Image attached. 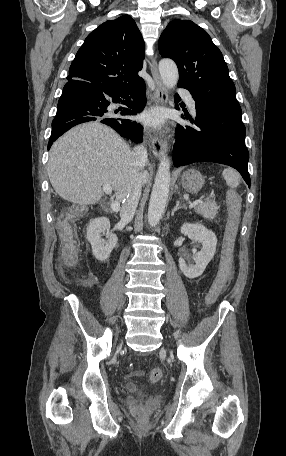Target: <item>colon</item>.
Instances as JSON below:
<instances>
[{
    "label": "colon",
    "instance_id": "obj_1",
    "mask_svg": "<svg viewBox=\"0 0 286 456\" xmlns=\"http://www.w3.org/2000/svg\"><path fill=\"white\" fill-rule=\"evenodd\" d=\"M227 204L230 213V219L227 225L224 250L222 253V258L217 277L205 296L206 306H210L216 301L220 293L232 279L234 273L233 249L238 220V212L240 208V199L235 192H228ZM77 249L78 239L75 233L74 225L70 223L67 225L66 230L63 234L62 260L66 266L72 267L75 264ZM128 369L130 373L133 372L132 365H129ZM149 377L152 382L160 381L163 377L162 369L158 367L153 368L150 372Z\"/></svg>",
    "mask_w": 286,
    "mask_h": 456
}]
</instances>
